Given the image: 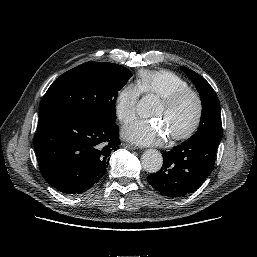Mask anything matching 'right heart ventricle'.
I'll return each mask as SVG.
<instances>
[{"label": "right heart ventricle", "mask_w": 257, "mask_h": 257, "mask_svg": "<svg viewBox=\"0 0 257 257\" xmlns=\"http://www.w3.org/2000/svg\"><path fill=\"white\" fill-rule=\"evenodd\" d=\"M137 85L142 92L159 98L172 92L189 88L188 83L169 70H143L137 75Z\"/></svg>", "instance_id": "1"}]
</instances>
